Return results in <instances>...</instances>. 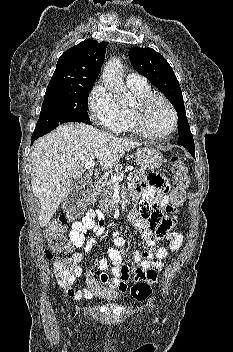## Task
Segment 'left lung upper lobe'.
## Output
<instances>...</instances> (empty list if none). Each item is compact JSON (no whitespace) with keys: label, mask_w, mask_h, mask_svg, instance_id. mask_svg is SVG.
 Here are the masks:
<instances>
[{"label":"left lung upper lobe","mask_w":233,"mask_h":352,"mask_svg":"<svg viewBox=\"0 0 233 352\" xmlns=\"http://www.w3.org/2000/svg\"><path fill=\"white\" fill-rule=\"evenodd\" d=\"M133 68L153 83L171 102L178 114V144L195 148L179 82L165 58L151 48H131L128 52Z\"/></svg>","instance_id":"left-lung-upper-lobe-1"}]
</instances>
